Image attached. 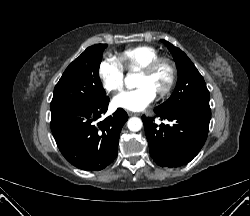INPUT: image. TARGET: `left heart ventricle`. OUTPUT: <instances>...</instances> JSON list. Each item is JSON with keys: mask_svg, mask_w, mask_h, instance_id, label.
<instances>
[{"mask_svg": "<svg viewBox=\"0 0 250 216\" xmlns=\"http://www.w3.org/2000/svg\"><path fill=\"white\" fill-rule=\"evenodd\" d=\"M165 79V71L163 69L158 70L153 75H140L138 78V82L141 85L148 86L151 90L156 92L161 85L163 84Z\"/></svg>", "mask_w": 250, "mask_h": 216, "instance_id": "left-heart-ventricle-1", "label": "left heart ventricle"}]
</instances>
